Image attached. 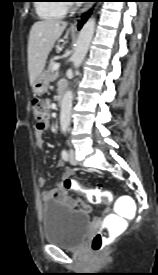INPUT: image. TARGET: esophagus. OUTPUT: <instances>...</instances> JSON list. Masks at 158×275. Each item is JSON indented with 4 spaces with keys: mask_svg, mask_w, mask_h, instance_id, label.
Segmentation results:
<instances>
[{
    "mask_svg": "<svg viewBox=\"0 0 158 275\" xmlns=\"http://www.w3.org/2000/svg\"><path fill=\"white\" fill-rule=\"evenodd\" d=\"M91 7H92V3H90V2L85 3V5L83 6V8L80 10L78 16L80 17L83 13H85L86 11H88ZM79 17H78V19H79Z\"/></svg>",
    "mask_w": 158,
    "mask_h": 275,
    "instance_id": "1",
    "label": "esophagus"
}]
</instances>
